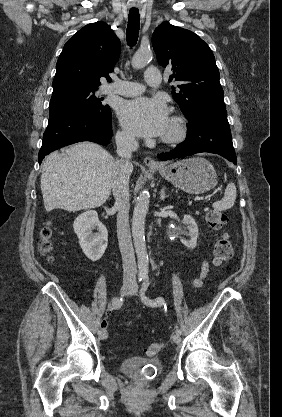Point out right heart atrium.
<instances>
[{"instance_id":"1","label":"right heart atrium","mask_w":282,"mask_h":417,"mask_svg":"<svg viewBox=\"0 0 282 417\" xmlns=\"http://www.w3.org/2000/svg\"><path fill=\"white\" fill-rule=\"evenodd\" d=\"M119 141L122 144L127 145L129 147H132L134 144V140L132 139V137L125 131L119 133Z\"/></svg>"}]
</instances>
